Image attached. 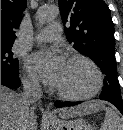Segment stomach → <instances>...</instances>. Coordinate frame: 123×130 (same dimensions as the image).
Instances as JSON below:
<instances>
[{
	"instance_id": "obj_1",
	"label": "stomach",
	"mask_w": 123,
	"mask_h": 130,
	"mask_svg": "<svg viewBox=\"0 0 123 130\" xmlns=\"http://www.w3.org/2000/svg\"><path fill=\"white\" fill-rule=\"evenodd\" d=\"M55 130H93V127L84 119L50 120Z\"/></svg>"
}]
</instances>
